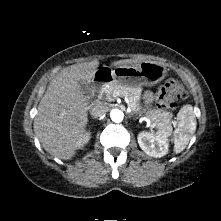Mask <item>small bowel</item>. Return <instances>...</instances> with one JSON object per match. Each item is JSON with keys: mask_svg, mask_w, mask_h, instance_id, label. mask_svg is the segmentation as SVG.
I'll list each match as a JSON object with an SVG mask.
<instances>
[{"mask_svg": "<svg viewBox=\"0 0 221 221\" xmlns=\"http://www.w3.org/2000/svg\"><path fill=\"white\" fill-rule=\"evenodd\" d=\"M144 99L147 103H151L154 99L153 94L151 92H146L144 94Z\"/></svg>", "mask_w": 221, "mask_h": 221, "instance_id": "obj_1", "label": "small bowel"}]
</instances>
